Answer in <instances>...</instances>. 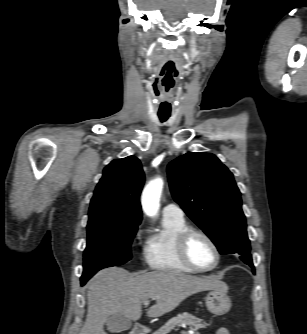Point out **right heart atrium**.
<instances>
[{"label":"right heart atrium","mask_w":307,"mask_h":334,"mask_svg":"<svg viewBox=\"0 0 307 334\" xmlns=\"http://www.w3.org/2000/svg\"><path fill=\"white\" fill-rule=\"evenodd\" d=\"M140 232H141V227H138L137 234H139Z\"/></svg>","instance_id":"obj_1"}]
</instances>
